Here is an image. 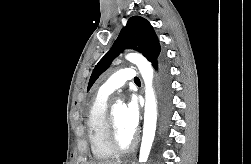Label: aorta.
<instances>
[{
  "mask_svg": "<svg viewBox=\"0 0 251 164\" xmlns=\"http://www.w3.org/2000/svg\"><path fill=\"white\" fill-rule=\"evenodd\" d=\"M126 59L134 63L138 67L142 79L145 83L143 137L139 154V161L145 162L148 159L152 147L157 123V102L153 89L154 71L151 63L141 54L129 53L126 55Z\"/></svg>",
  "mask_w": 251,
  "mask_h": 164,
  "instance_id": "1",
  "label": "aorta"
}]
</instances>
